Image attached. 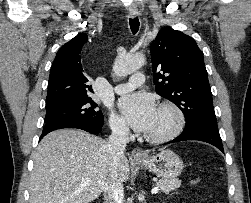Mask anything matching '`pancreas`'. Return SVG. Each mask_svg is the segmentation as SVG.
Listing matches in <instances>:
<instances>
[{"label": "pancreas", "mask_w": 251, "mask_h": 203, "mask_svg": "<svg viewBox=\"0 0 251 203\" xmlns=\"http://www.w3.org/2000/svg\"><path fill=\"white\" fill-rule=\"evenodd\" d=\"M181 185V181L176 178L171 179H161L158 182V186L160 188V191L168 194L169 192L179 188Z\"/></svg>", "instance_id": "cf45deb5"}]
</instances>
